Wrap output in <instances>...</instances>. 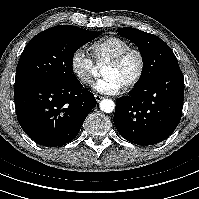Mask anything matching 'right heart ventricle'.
Listing matches in <instances>:
<instances>
[{"instance_id":"obj_1","label":"right heart ventricle","mask_w":199,"mask_h":199,"mask_svg":"<svg viewBox=\"0 0 199 199\" xmlns=\"http://www.w3.org/2000/svg\"><path fill=\"white\" fill-rule=\"evenodd\" d=\"M131 47V44L122 38L110 36L103 38L92 45V52L95 61L99 64H108L124 50Z\"/></svg>"}]
</instances>
